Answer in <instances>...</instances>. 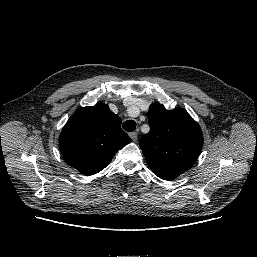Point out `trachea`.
I'll return each instance as SVG.
<instances>
[{
  "mask_svg": "<svg viewBox=\"0 0 257 257\" xmlns=\"http://www.w3.org/2000/svg\"><path fill=\"white\" fill-rule=\"evenodd\" d=\"M122 127L127 132H133L136 129V122L134 120H127L123 123Z\"/></svg>",
  "mask_w": 257,
  "mask_h": 257,
  "instance_id": "1",
  "label": "trachea"
}]
</instances>
